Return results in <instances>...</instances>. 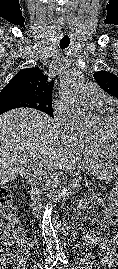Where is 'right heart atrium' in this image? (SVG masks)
<instances>
[{
    "mask_svg": "<svg viewBox=\"0 0 118 269\" xmlns=\"http://www.w3.org/2000/svg\"><path fill=\"white\" fill-rule=\"evenodd\" d=\"M54 116L61 129L64 142L74 148L81 149L91 141L92 135L80 128L70 116H63L58 111H55Z\"/></svg>",
    "mask_w": 118,
    "mask_h": 269,
    "instance_id": "obj_1",
    "label": "right heart atrium"
}]
</instances>
